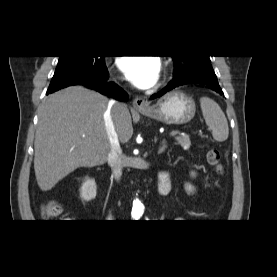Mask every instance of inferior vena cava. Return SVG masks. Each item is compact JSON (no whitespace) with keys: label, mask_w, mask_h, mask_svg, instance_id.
<instances>
[{"label":"inferior vena cava","mask_w":277,"mask_h":277,"mask_svg":"<svg viewBox=\"0 0 277 277\" xmlns=\"http://www.w3.org/2000/svg\"><path fill=\"white\" fill-rule=\"evenodd\" d=\"M125 105L123 103L109 101L107 109L104 113V125L107 133V138L110 145V151L107 156V161L112 170V176L118 181L122 176V150L119 144L118 135L115 131L113 123V111L120 112Z\"/></svg>","instance_id":"obj_1"}]
</instances>
